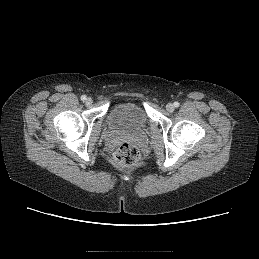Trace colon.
Segmentation results:
<instances>
[{
	"instance_id": "5ec220e1",
	"label": "colon",
	"mask_w": 259,
	"mask_h": 259,
	"mask_svg": "<svg viewBox=\"0 0 259 259\" xmlns=\"http://www.w3.org/2000/svg\"><path fill=\"white\" fill-rule=\"evenodd\" d=\"M140 156L137 146L130 142L121 143L114 151L115 163L123 168H130L136 164Z\"/></svg>"
}]
</instances>
